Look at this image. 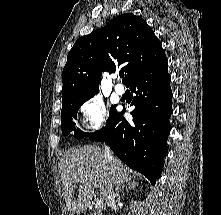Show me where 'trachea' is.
<instances>
[{
  "label": "trachea",
  "instance_id": "1",
  "mask_svg": "<svg viewBox=\"0 0 221 215\" xmlns=\"http://www.w3.org/2000/svg\"><path fill=\"white\" fill-rule=\"evenodd\" d=\"M120 77H124V72L119 73Z\"/></svg>",
  "mask_w": 221,
  "mask_h": 215
}]
</instances>
